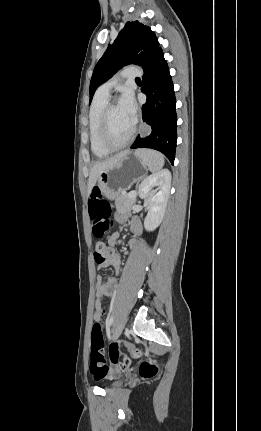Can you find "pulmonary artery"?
<instances>
[{"label":"pulmonary artery","mask_w":261,"mask_h":431,"mask_svg":"<svg viewBox=\"0 0 261 431\" xmlns=\"http://www.w3.org/2000/svg\"><path fill=\"white\" fill-rule=\"evenodd\" d=\"M141 71L135 67H129L123 69L117 77L110 79L109 81L103 83L97 90L98 93L102 95L109 96L111 88L117 84L122 79H134L141 76Z\"/></svg>","instance_id":"pulmonary-artery-1"}]
</instances>
